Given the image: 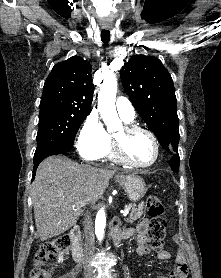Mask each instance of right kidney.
Masks as SVG:
<instances>
[{"label": "right kidney", "instance_id": "right-kidney-1", "mask_svg": "<svg viewBox=\"0 0 221 278\" xmlns=\"http://www.w3.org/2000/svg\"><path fill=\"white\" fill-rule=\"evenodd\" d=\"M58 261L62 262L63 261V256H59Z\"/></svg>", "mask_w": 221, "mask_h": 278}]
</instances>
